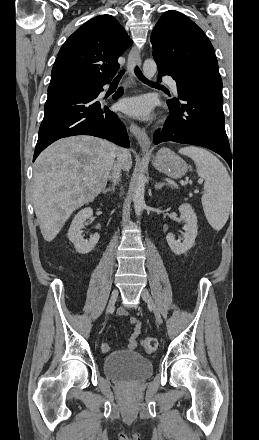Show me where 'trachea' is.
I'll return each instance as SVG.
<instances>
[{
    "instance_id": "trachea-1",
    "label": "trachea",
    "mask_w": 259,
    "mask_h": 440,
    "mask_svg": "<svg viewBox=\"0 0 259 440\" xmlns=\"http://www.w3.org/2000/svg\"><path fill=\"white\" fill-rule=\"evenodd\" d=\"M123 72H124V71H121V72L115 77L114 81H120V79H121V77H122V75H123ZM135 73H136L137 77H138L140 80H142L143 82H146V83H147L146 78L144 77V75L142 74L141 70H140L138 67H136V69H135ZM150 84H155V83L150 82Z\"/></svg>"
}]
</instances>
